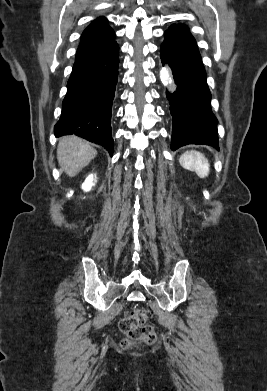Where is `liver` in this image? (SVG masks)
Returning a JSON list of instances; mask_svg holds the SVG:
<instances>
[{"label": "liver", "instance_id": "liver-1", "mask_svg": "<svg viewBox=\"0 0 267 391\" xmlns=\"http://www.w3.org/2000/svg\"><path fill=\"white\" fill-rule=\"evenodd\" d=\"M97 151L83 139L67 136L59 141L57 160L61 169L70 177L76 176L96 156Z\"/></svg>", "mask_w": 267, "mask_h": 391}]
</instances>
